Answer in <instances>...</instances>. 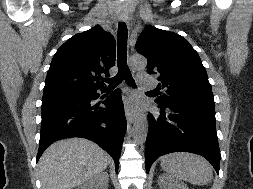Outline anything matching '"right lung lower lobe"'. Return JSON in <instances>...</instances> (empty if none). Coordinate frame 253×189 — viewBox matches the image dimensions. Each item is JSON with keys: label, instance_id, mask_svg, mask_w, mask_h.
Instances as JSON below:
<instances>
[{"label": "right lung lower lobe", "instance_id": "right-lung-lower-lobe-1", "mask_svg": "<svg viewBox=\"0 0 253 189\" xmlns=\"http://www.w3.org/2000/svg\"><path fill=\"white\" fill-rule=\"evenodd\" d=\"M99 89L102 92L105 90ZM97 90L43 96L37 160L53 142L68 137H82L106 150L118 170L127 127L121 93L115 90L103 102L105 107L92 106L90 102L99 97Z\"/></svg>", "mask_w": 253, "mask_h": 189}]
</instances>
